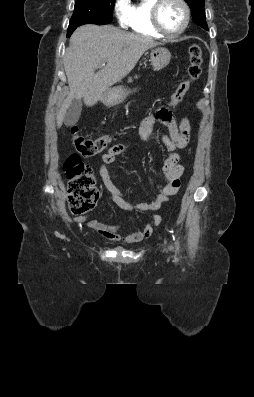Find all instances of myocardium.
<instances>
[{"instance_id":"f54148a6","label":"myocardium","mask_w":254,"mask_h":397,"mask_svg":"<svg viewBox=\"0 0 254 397\" xmlns=\"http://www.w3.org/2000/svg\"><path fill=\"white\" fill-rule=\"evenodd\" d=\"M183 8L184 20L180 29L176 32L166 31L160 21V11L166 0H155L151 9V21L154 29L163 37L166 38H176L182 35L187 29L190 22V8L185 0H176Z\"/></svg>"}]
</instances>
